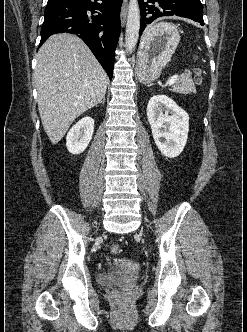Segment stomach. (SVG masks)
<instances>
[{"mask_svg": "<svg viewBox=\"0 0 247 332\" xmlns=\"http://www.w3.org/2000/svg\"><path fill=\"white\" fill-rule=\"evenodd\" d=\"M180 41V33L172 23L152 25L143 35L138 51L137 75L141 82L157 79L170 62Z\"/></svg>", "mask_w": 247, "mask_h": 332, "instance_id": "1", "label": "stomach"}]
</instances>
